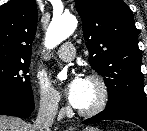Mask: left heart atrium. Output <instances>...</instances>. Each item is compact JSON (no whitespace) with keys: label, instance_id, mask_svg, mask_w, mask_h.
Listing matches in <instances>:
<instances>
[{"label":"left heart atrium","instance_id":"1","mask_svg":"<svg viewBox=\"0 0 147 131\" xmlns=\"http://www.w3.org/2000/svg\"><path fill=\"white\" fill-rule=\"evenodd\" d=\"M87 87V80L80 75H74L65 86V95L69 103L79 108L82 104Z\"/></svg>","mask_w":147,"mask_h":131}]
</instances>
